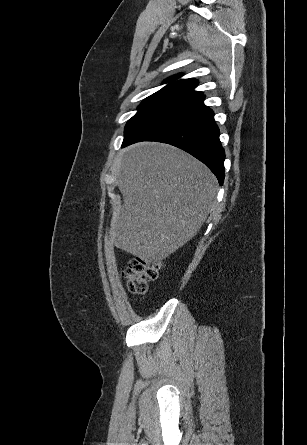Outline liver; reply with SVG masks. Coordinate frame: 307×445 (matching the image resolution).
I'll list each match as a JSON object with an SVG mask.
<instances>
[{
  "mask_svg": "<svg viewBox=\"0 0 307 445\" xmlns=\"http://www.w3.org/2000/svg\"><path fill=\"white\" fill-rule=\"evenodd\" d=\"M120 170L124 202L112 218L110 241L145 263L163 261L188 243L216 204V176L171 144L125 148Z\"/></svg>",
  "mask_w": 307,
  "mask_h": 445,
  "instance_id": "obj_1",
  "label": "liver"
}]
</instances>
